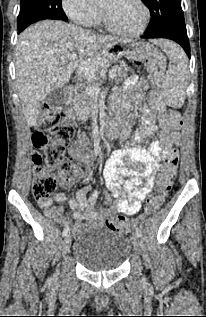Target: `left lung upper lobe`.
I'll return each instance as SVG.
<instances>
[{
    "instance_id": "obj_1",
    "label": "left lung upper lobe",
    "mask_w": 206,
    "mask_h": 317,
    "mask_svg": "<svg viewBox=\"0 0 206 317\" xmlns=\"http://www.w3.org/2000/svg\"><path fill=\"white\" fill-rule=\"evenodd\" d=\"M151 12L146 34L174 29L186 31L181 0H142Z\"/></svg>"
}]
</instances>
